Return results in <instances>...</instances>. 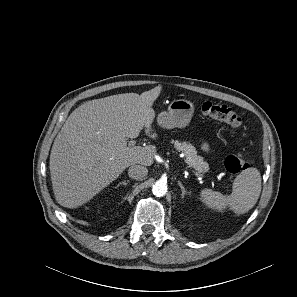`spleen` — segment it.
I'll return each instance as SVG.
<instances>
[{"instance_id":"spleen-1","label":"spleen","mask_w":297,"mask_h":297,"mask_svg":"<svg viewBox=\"0 0 297 297\" xmlns=\"http://www.w3.org/2000/svg\"><path fill=\"white\" fill-rule=\"evenodd\" d=\"M261 193V174L253 167L243 170L234 180L232 193L205 188L201 190L202 202L210 209L223 211L227 206L236 214H244L254 207Z\"/></svg>"}]
</instances>
